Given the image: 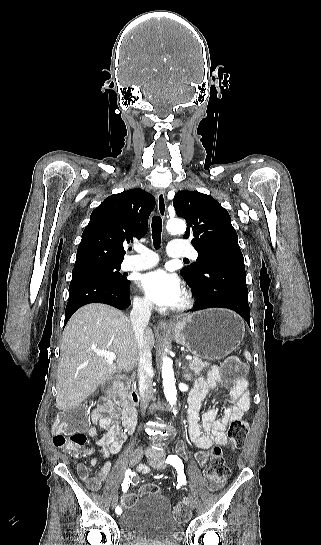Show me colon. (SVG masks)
I'll use <instances>...</instances> for the list:
<instances>
[{
  "mask_svg": "<svg viewBox=\"0 0 321 545\" xmlns=\"http://www.w3.org/2000/svg\"><path fill=\"white\" fill-rule=\"evenodd\" d=\"M222 371L232 381V389L241 386L246 373L245 365L236 357H229L222 363ZM86 408L77 407L65 410L59 413L53 424V443L57 448L71 454L76 458L82 456V448L86 443L85 429L87 427ZM249 431V423L247 421L237 419L230 423L228 429L229 443L233 450L241 449L246 441ZM221 448L215 446L210 464L205 473V482L209 490L217 491L225 483L229 468L225 463L221 454ZM78 474L93 490L98 489L100 482L94 476H90L85 465H78ZM140 492L142 494L158 493L159 487L154 484L144 485ZM137 500V495L133 493L125 494L120 505L123 509L132 506ZM174 516L179 521L185 522L190 517L188 505L185 502H180L174 507Z\"/></svg>",
  "mask_w": 321,
  "mask_h": 545,
  "instance_id": "obj_1",
  "label": "colon"
}]
</instances>
